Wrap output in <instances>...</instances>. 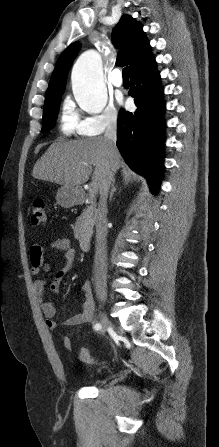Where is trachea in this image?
<instances>
[{
    "label": "trachea",
    "instance_id": "trachea-1",
    "mask_svg": "<svg viewBox=\"0 0 219 447\" xmlns=\"http://www.w3.org/2000/svg\"><path fill=\"white\" fill-rule=\"evenodd\" d=\"M123 78H129V67H125L122 71Z\"/></svg>",
    "mask_w": 219,
    "mask_h": 447
}]
</instances>
